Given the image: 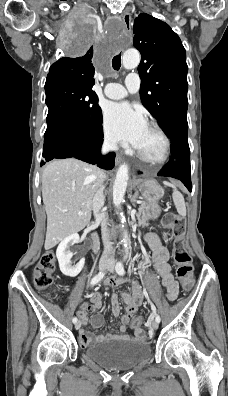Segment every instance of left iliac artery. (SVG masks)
Here are the masks:
<instances>
[{"instance_id": "left-iliac-artery-1", "label": "left iliac artery", "mask_w": 228, "mask_h": 396, "mask_svg": "<svg viewBox=\"0 0 228 396\" xmlns=\"http://www.w3.org/2000/svg\"><path fill=\"white\" fill-rule=\"evenodd\" d=\"M115 269H116L117 274H119V275H124V274H125V269H124L123 262H118V263L116 264ZM155 320H156L158 323H160V321H161L160 316H159V315H156Z\"/></svg>"}]
</instances>
